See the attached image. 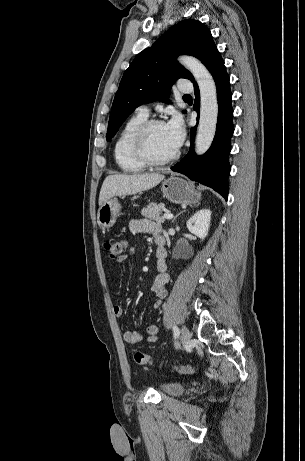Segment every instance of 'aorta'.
Segmentation results:
<instances>
[{"instance_id": "762f6f07", "label": "aorta", "mask_w": 305, "mask_h": 461, "mask_svg": "<svg viewBox=\"0 0 305 461\" xmlns=\"http://www.w3.org/2000/svg\"><path fill=\"white\" fill-rule=\"evenodd\" d=\"M179 61L193 74L200 89V119L195 151L198 155H202L210 148L216 132L218 117L216 85L209 71L198 59L183 56Z\"/></svg>"}]
</instances>
